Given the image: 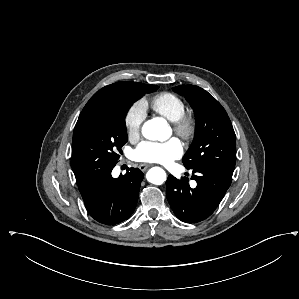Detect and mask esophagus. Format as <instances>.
<instances>
[{
  "label": "esophagus",
  "instance_id": "obj_1",
  "mask_svg": "<svg viewBox=\"0 0 299 299\" xmlns=\"http://www.w3.org/2000/svg\"><path fill=\"white\" fill-rule=\"evenodd\" d=\"M149 167H150V164H140L139 165V169L143 172L146 171Z\"/></svg>",
  "mask_w": 299,
  "mask_h": 299
}]
</instances>
